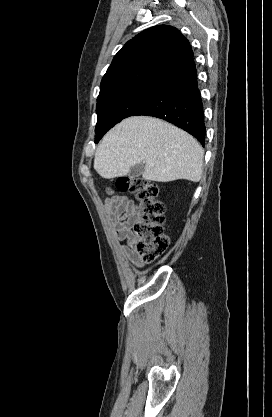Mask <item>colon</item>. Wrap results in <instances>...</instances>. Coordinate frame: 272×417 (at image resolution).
I'll use <instances>...</instances> for the list:
<instances>
[{
    "label": "colon",
    "instance_id": "obj_1",
    "mask_svg": "<svg viewBox=\"0 0 272 417\" xmlns=\"http://www.w3.org/2000/svg\"><path fill=\"white\" fill-rule=\"evenodd\" d=\"M116 187L120 191L133 193L138 201L131 232L143 262H153L169 245V238L164 231L165 205L158 198L159 188L154 182L142 177L120 178Z\"/></svg>",
    "mask_w": 272,
    "mask_h": 417
}]
</instances>
